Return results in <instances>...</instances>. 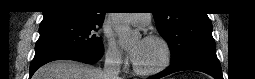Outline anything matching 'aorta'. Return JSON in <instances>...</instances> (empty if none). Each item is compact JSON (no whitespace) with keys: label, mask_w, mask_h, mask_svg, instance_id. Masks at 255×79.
I'll return each mask as SVG.
<instances>
[{"label":"aorta","mask_w":255,"mask_h":79,"mask_svg":"<svg viewBox=\"0 0 255 79\" xmlns=\"http://www.w3.org/2000/svg\"><path fill=\"white\" fill-rule=\"evenodd\" d=\"M121 13H116L115 30L119 36L122 45L130 44L138 40L140 34L137 31L132 30L128 25L122 23Z\"/></svg>","instance_id":"obj_1"}]
</instances>
